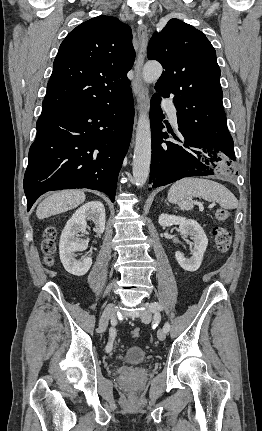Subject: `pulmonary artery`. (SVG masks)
Returning a JSON list of instances; mask_svg holds the SVG:
<instances>
[{
    "label": "pulmonary artery",
    "instance_id": "pulmonary-artery-1",
    "mask_svg": "<svg viewBox=\"0 0 262 431\" xmlns=\"http://www.w3.org/2000/svg\"><path fill=\"white\" fill-rule=\"evenodd\" d=\"M161 104L165 108V110L167 111L168 115L170 116L172 123L174 125H177L176 109H175L174 105L172 104V102L170 100L166 99V100H163Z\"/></svg>",
    "mask_w": 262,
    "mask_h": 431
}]
</instances>
